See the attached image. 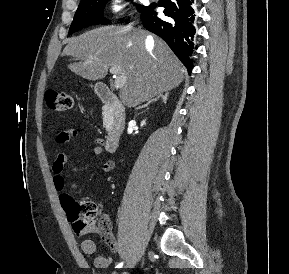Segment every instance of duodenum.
<instances>
[{
    "label": "duodenum",
    "mask_w": 289,
    "mask_h": 274,
    "mask_svg": "<svg viewBox=\"0 0 289 274\" xmlns=\"http://www.w3.org/2000/svg\"><path fill=\"white\" fill-rule=\"evenodd\" d=\"M96 93L105 106L106 112L111 117V126L104 142L108 152H115L119 147L120 137L124 128L125 112L122 104L105 84L96 85Z\"/></svg>",
    "instance_id": "1"
}]
</instances>
